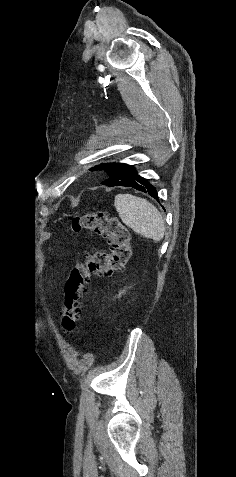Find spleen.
Wrapping results in <instances>:
<instances>
[{"instance_id":"1","label":"spleen","mask_w":236,"mask_h":477,"mask_svg":"<svg viewBox=\"0 0 236 477\" xmlns=\"http://www.w3.org/2000/svg\"><path fill=\"white\" fill-rule=\"evenodd\" d=\"M114 206L122 222L135 233L156 242L163 239L165 223L152 203L131 194H118Z\"/></svg>"}]
</instances>
